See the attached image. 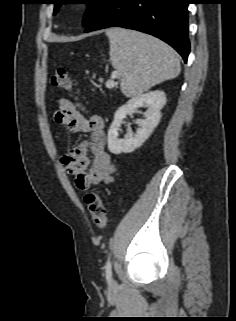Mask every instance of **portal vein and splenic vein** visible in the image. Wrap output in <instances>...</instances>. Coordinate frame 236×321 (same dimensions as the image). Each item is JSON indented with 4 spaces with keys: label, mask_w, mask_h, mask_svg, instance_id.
Returning <instances> with one entry per match:
<instances>
[{
    "label": "portal vein and splenic vein",
    "mask_w": 236,
    "mask_h": 321,
    "mask_svg": "<svg viewBox=\"0 0 236 321\" xmlns=\"http://www.w3.org/2000/svg\"><path fill=\"white\" fill-rule=\"evenodd\" d=\"M113 77L115 78L116 75L114 74ZM106 86L109 87V88H110V87H113V86H114L113 81H107Z\"/></svg>",
    "instance_id": "1"
}]
</instances>
